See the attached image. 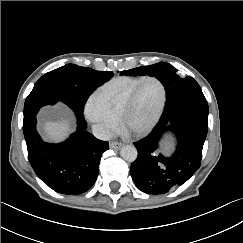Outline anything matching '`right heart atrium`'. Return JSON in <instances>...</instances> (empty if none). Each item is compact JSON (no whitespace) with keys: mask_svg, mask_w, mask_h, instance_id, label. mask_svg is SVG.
Instances as JSON below:
<instances>
[{"mask_svg":"<svg viewBox=\"0 0 243 243\" xmlns=\"http://www.w3.org/2000/svg\"><path fill=\"white\" fill-rule=\"evenodd\" d=\"M85 115L89 122L94 124L98 133L107 137L110 136L118 127V120L116 117L106 111L94 98L90 97L86 107Z\"/></svg>","mask_w":243,"mask_h":243,"instance_id":"d8ad5b80","label":"right heart atrium"}]
</instances>
